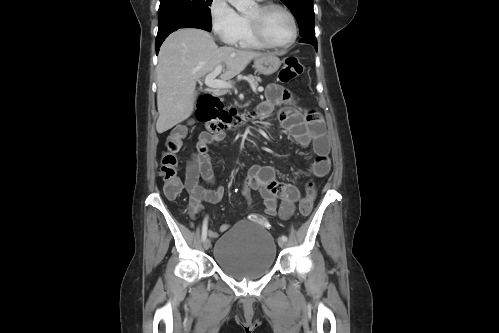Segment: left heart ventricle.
I'll return each instance as SVG.
<instances>
[{"label":"left heart ventricle","instance_id":"obj_1","mask_svg":"<svg viewBox=\"0 0 499 333\" xmlns=\"http://www.w3.org/2000/svg\"><path fill=\"white\" fill-rule=\"evenodd\" d=\"M257 5L248 13L249 17H258ZM261 26L267 39L275 44L287 42L292 35V25L289 17L280 9H271L262 14Z\"/></svg>","mask_w":499,"mask_h":333}]
</instances>
